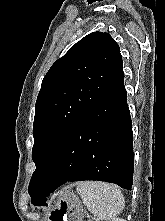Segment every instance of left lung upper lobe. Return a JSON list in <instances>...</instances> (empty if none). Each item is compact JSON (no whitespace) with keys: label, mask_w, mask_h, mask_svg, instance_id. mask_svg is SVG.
I'll return each instance as SVG.
<instances>
[{"label":"left lung upper lobe","mask_w":165,"mask_h":221,"mask_svg":"<svg viewBox=\"0 0 165 221\" xmlns=\"http://www.w3.org/2000/svg\"><path fill=\"white\" fill-rule=\"evenodd\" d=\"M122 70L120 48L103 32L88 34L51 66L35 105L31 201L63 140Z\"/></svg>","instance_id":"5c2ea615"}]
</instances>
